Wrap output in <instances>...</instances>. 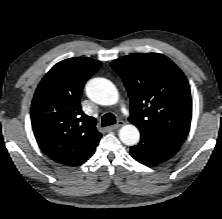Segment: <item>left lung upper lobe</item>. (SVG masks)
Wrapping results in <instances>:
<instances>
[{"instance_id":"1","label":"left lung upper lobe","mask_w":222,"mask_h":219,"mask_svg":"<svg viewBox=\"0 0 222 219\" xmlns=\"http://www.w3.org/2000/svg\"><path fill=\"white\" fill-rule=\"evenodd\" d=\"M130 97L129 121L141 133L181 145L190 129L192 101L183 72L166 56L133 53L112 61Z\"/></svg>"}]
</instances>
